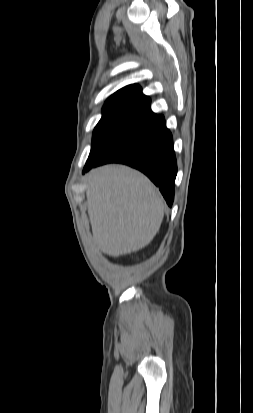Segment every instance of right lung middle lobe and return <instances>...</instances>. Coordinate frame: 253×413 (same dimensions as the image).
<instances>
[{
	"mask_svg": "<svg viewBox=\"0 0 253 413\" xmlns=\"http://www.w3.org/2000/svg\"><path fill=\"white\" fill-rule=\"evenodd\" d=\"M163 120V118L149 117L130 111L103 113L94 129L91 152L84 170L93 167L121 147L151 132Z\"/></svg>",
	"mask_w": 253,
	"mask_h": 413,
	"instance_id": "obj_1",
	"label": "right lung middle lobe"
}]
</instances>
